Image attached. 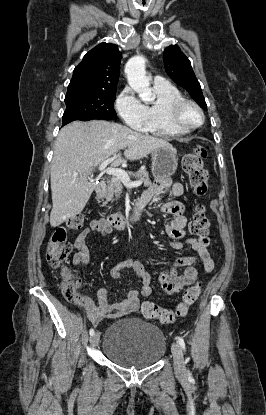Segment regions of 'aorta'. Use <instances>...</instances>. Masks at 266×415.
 <instances>
[{
  "mask_svg": "<svg viewBox=\"0 0 266 415\" xmlns=\"http://www.w3.org/2000/svg\"><path fill=\"white\" fill-rule=\"evenodd\" d=\"M130 87L139 95L142 101L148 103L152 100L150 83L146 76L145 58L143 56H134L128 60L125 65Z\"/></svg>",
  "mask_w": 266,
  "mask_h": 415,
  "instance_id": "aorta-1",
  "label": "aorta"
}]
</instances>
